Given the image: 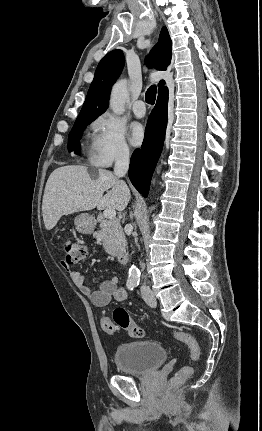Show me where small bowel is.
Segmentation results:
<instances>
[{
	"mask_svg": "<svg viewBox=\"0 0 262 431\" xmlns=\"http://www.w3.org/2000/svg\"><path fill=\"white\" fill-rule=\"evenodd\" d=\"M63 267L70 274V278L74 285L83 295L89 298L90 302L95 307L104 308L108 306L112 300L117 303L126 300L127 292L125 289L118 286V277H112L105 280L99 285L98 289L91 290L79 272L73 270L69 265L63 264Z\"/></svg>",
	"mask_w": 262,
	"mask_h": 431,
	"instance_id": "small-bowel-1",
	"label": "small bowel"
}]
</instances>
